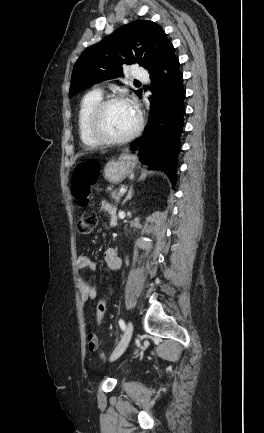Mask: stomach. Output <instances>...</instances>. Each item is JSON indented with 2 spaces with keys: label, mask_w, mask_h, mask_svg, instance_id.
<instances>
[{
  "label": "stomach",
  "mask_w": 264,
  "mask_h": 433,
  "mask_svg": "<svg viewBox=\"0 0 264 433\" xmlns=\"http://www.w3.org/2000/svg\"><path fill=\"white\" fill-rule=\"evenodd\" d=\"M137 164L136 156L124 151L118 160H110L104 167V178L112 184L122 182L128 175L132 174Z\"/></svg>",
  "instance_id": "obj_1"
}]
</instances>
